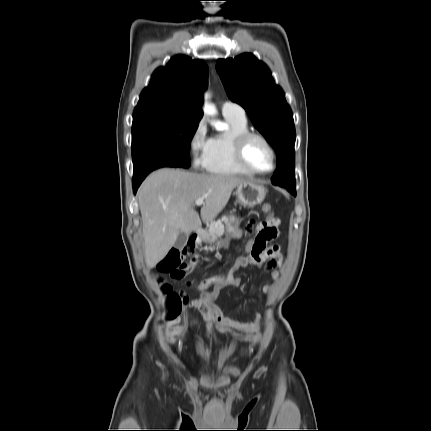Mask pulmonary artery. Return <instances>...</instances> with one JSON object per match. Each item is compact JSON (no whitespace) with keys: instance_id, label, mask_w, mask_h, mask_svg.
<instances>
[{"instance_id":"pulmonary-artery-1","label":"pulmonary artery","mask_w":431,"mask_h":431,"mask_svg":"<svg viewBox=\"0 0 431 431\" xmlns=\"http://www.w3.org/2000/svg\"><path fill=\"white\" fill-rule=\"evenodd\" d=\"M221 111L224 116L246 119L245 110L240 105L231 101H225L221 106Z\"/></svg>"}]
</instances>
